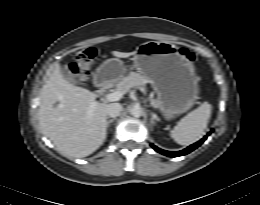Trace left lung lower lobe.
Wrapping results in <instances>:
<instances>
[{
	"mask_svg": "<svg viewBox=\"0 0 260 205\" xmlns=\"http://www.w3.org/2000/svg\"><path fill=\"white\" fill-rule=\"evenodd\" d=\"M210 133H208L209 135ZM207 138V136H205L203 139H201L200 141H198L197 143H194L193 145L187 147L184 150L181 151H176V152H171V151H166V150H162L156 146H154L153 144H151V146L159 153L169 156V157H178V156H183L186 155L188 153H190L191 151H193L194 149H196L198 146H200L204 140Z\"/></svg>",
	"mask_w": 260,
	"mask_h": 205,
	"instance_id": "0a47b994",
	"label": "left lung lower lobe"
}]
</instances>
